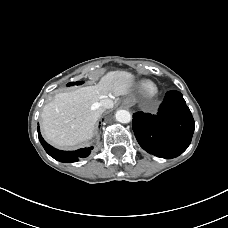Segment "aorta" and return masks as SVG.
I'll return each instance as SVG.
<instances>
[{
  "label": "aorta",
  "instance_id": "aorta-1",
  "mask_svg": "<svg viewBox=\"0 0 228 228\" xmlns=\"http://www.w3.org/2000/svg\"><path fill=\"white\" fill-rule=\"evenodd\" d=\"M115 118L120 123H129L132 119V116L127 110H118L115 114Z\"/></svg>",
  "mask_w": 228,
  "mask_h": 228
}]
</instances>
